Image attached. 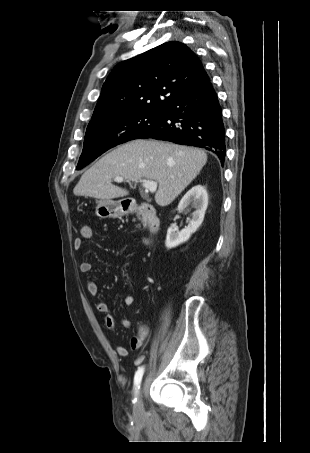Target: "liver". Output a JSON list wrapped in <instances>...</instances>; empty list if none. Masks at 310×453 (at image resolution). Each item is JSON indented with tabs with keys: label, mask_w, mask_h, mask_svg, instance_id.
<instances>
[{
	"label": "liver",
	"mask_w": 310,
	"mask_h": 453,
	"mask_svg": "<svg viewBox=\"0 0 310 453\" xmlns=\"http://www.w3.org/2000/svg\"><path fill=\"white\" fill-rule=\"evenodd\" d=\"M207 162L198 148L157 140L137 139L112 150L84 172L75 186V196L110 200L128 195L111 183L114 177L158 183L155 201L168 206L192 182Z\"/></svg>",
	"instance_id": "1"
}]
</instances>
